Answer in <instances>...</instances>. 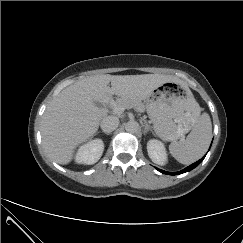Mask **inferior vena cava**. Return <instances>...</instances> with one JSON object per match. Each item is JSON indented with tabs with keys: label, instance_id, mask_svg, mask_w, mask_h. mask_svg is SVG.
<instances>
[{
	"label": "inferior vena cava",
	"instance_id": "obj_1",
	"mask_svg": "<svg viewBox=\"0 0 243 243\" xmlns=\"http://www.w3.org/2000/svg\"><path fill=\"white\" fill-rule=\"evenodd\" d=\"M119 125V119L116 116H107L101 121V129L103 132L110 133Z\"/></svg>",
	"mask_w": 243,
	"mask_h": 243
}]
</instances>
